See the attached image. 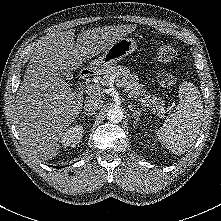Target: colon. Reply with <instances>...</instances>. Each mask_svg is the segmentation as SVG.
<instances>
[{
  "label": "colon",
  "instance_id": "colon-1",
  "mask_svg": "<svg viewBox=\"0 0 221 221\" xmlns=\"http://www.w3.org/2000/svg\"><path fill=\"white\" fill-rule=\"evenodd\" d=\"M158 61L166 66H171L177 58V52L170 44L158 43L157 45ZM176 83V78L172 73L165 72L159 77V84L163 89H171Z\"/></svg>",
  "mask_w": 221,
  "mask_h": 221
}]
</instances>
